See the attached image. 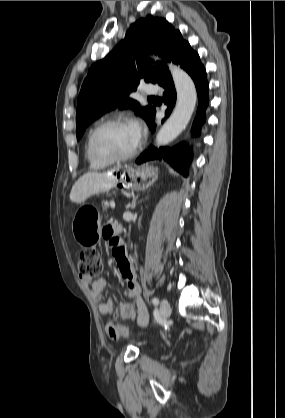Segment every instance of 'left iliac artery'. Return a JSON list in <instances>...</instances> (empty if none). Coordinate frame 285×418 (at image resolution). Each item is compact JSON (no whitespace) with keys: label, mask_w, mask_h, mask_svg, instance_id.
<instances>
[{"label":"left iliac artery","mask_w":285,"mask_h":418,"mask_svg":"<svg viewBox=\"0 0 285 418\" xmlns=\"http://www.w3.org/2000/svg\"><path fill=\"white\" fill-rule=\"evenodd\" d=\"M152 303L154 304V305H158L159 304V299L158 298H156V297H154V298H152Z\"/></svg>","instance_id":"44dca946"}]
</instances>
